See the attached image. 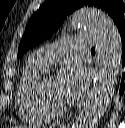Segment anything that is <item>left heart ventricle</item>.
I'll use <instances>...</instances> for the list:
<instances>
[{"instance_id":"obj_1","label":"left heart ventricle","mask_w":125,"mask_h":128,"mask_svg":"<svg viewBox=\"0 0 125 128\" xmlns=\"http://www.w3.org/2000/svg\"><path fill=\"white\" fill-rule=\"evenodd\" d=\"M43 87H44V91H45L47 97L51 101H53L57 104L66 105V102L60 96L56 78H54V77L46 78L44 81Z\"/></svg>"}]
</instances>
